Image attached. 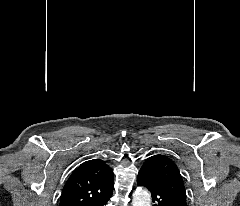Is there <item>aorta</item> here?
<instances>
[{"label":"aorta","instance_id":"762f6f07","mask_svg":"<svg viewBox=\"0 0 240 206\" xmlns=\"http://www.w3.org/2000/svg\"><path fill=\"white\" fill-rule=\"evenodd\" d=\"M132 206H151V196L148 191L137 188L133 194Z\"/></svg>","mask_w":240,"mask_h":206}]
</instances>
